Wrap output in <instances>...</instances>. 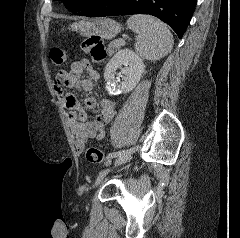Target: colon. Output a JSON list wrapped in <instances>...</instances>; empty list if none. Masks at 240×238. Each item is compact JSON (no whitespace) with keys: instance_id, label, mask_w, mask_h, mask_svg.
Masks as SVG:
<instances>
[{"instance_id":"colon-1","label":"colon","mask_w":240,"mask_h":238,"mask_svg":"<svg viewBox=\"0 0 240 238\" xmlns=\"http://www.w3.org/2000/svg\"><path fill=\"white\" fill-rule=\"evenodd\" d=\"M81 48L83 52L89 54L96 63H102L106 59L105 45L98 37L86 38L82 42ZM67 59V53L61 48H52L49 52V60L55 65L63 64ZM86 159L92 163H110V161L105 158V155L95 147H89L86 150Z\"/></svg>"}]
</instances>
